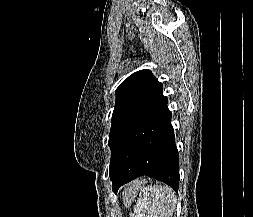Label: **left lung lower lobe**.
<instances>
[{"label":"left lung lower lobe","mask_w":253,"mask_h":217,"mask_svg":"<svg viewBox=\"0 0 253 217\" xmlns=\"http://www.w3.org/2000/svg\"><path fill=\"white\" fill-rule=\"evenodd\" d=\"M167 101L164 96L143 114L120 142L110 172L113 192L142 175L178 190L179 156Z\"/></svg>","instance_id":"obj_1"}]
</instances>
